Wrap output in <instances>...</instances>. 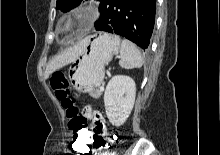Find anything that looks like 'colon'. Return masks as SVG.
<instances>
[{
	"instance_id": "1",
	"label": "colon",
	"mask_w": 220,
	"mask_h": 155,
	"mask_svg": "<svg viewBox=\"0 0 220 155\" xmlns=\"http://www.w3.org/2000/svg\"><path fill=\"white\" fill-rule=\"evenodd\" d=\"M50 86L65 110L67 126L73 132L71 155H88L90 144H92L94 153L99 155H114L112 149H117L119 137L115 133L114 137H105V126L98 124L95 137L90 123L84 119V114L80 112L74 97L70 94L69 82L63 72L56 71L50 77ZM93 140V141H92ZM96 155V154H95Z\"/></svg>"
}]
</instances>
